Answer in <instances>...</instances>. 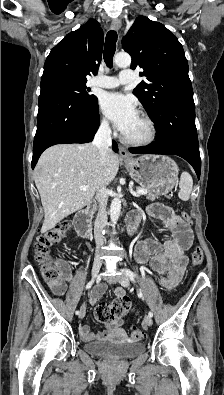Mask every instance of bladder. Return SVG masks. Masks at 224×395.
Returning a JSON list of instances; mask_svg holds the SVG:
<instances>
[{
    "label": "bladder",
    "mask_w": 224,
    "mask_h": 395,
    "mask_svg": "<svg viewBox=\"0 0 224 395\" xmlns=\"http://www.w3.org/2000/svg\"><path fill=\"white\" fill-rule=\"evenodd\" d=\"M84 348L90 354L125 359L144 352L145 344L137 341L105 340L87 343Z\"/></svg>",
    "instance_id": "1"
}]
</instances>
